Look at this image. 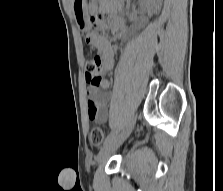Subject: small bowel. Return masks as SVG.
<instances>
[{
	"instance_id": "c3829d8e",
	"label": "small bowel",
	"mask_w": 223,
	"mask_h": 191,
	"mask_svg": "<svg viewBox=\"0 0 223 191\" xmlns=\"http://www.w3.org/2000/svg\"><path fill=\"white\" fill-rule=\"evenodd\" d=\"M98 30L92 31L87 35V41L90 45L96 48L100 57V73L102 75L109 72L114 66V51L108 38L100 31L108 27V22L103 16H100L96 21ZM125 24L122 21H115L113 23L112 31L116 38H122L125 33ZM109 81L102 78L99 86L90 85L87 89V115L88 118L94 122L104 124L109 118V96L101 90L109 88Z\"/></svg>"
}]
</instances>
